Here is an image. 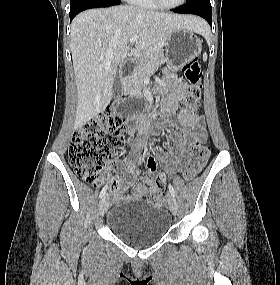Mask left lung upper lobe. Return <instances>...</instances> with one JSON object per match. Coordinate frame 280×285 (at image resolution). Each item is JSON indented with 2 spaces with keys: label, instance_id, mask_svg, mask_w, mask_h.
I'll return each mask as SVG.
<instances>
[{
  "label": "left lung upper lobe",
  "instance_id": "left-lung-upper-lobe-1",
  "mask_svg": "<svg viewBox=\"0 0 280 285\" xmlns=\"http://www.w3.org/2000/svg\"><path fill=\"white\" fill-rule=\"evenodd\" d=\"M189 1H191V0H186V2H189Z\"/></svg>",
  "mask_w": 280,
  "mask_h": 285
}]
</instances>
